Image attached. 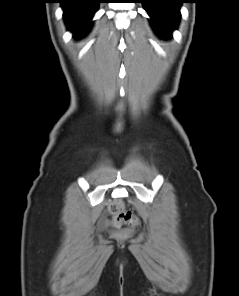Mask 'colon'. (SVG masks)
<instances>
[{"mask_svg": "<svg viewBox=\"0 0 239 296\" xmlns=\"http://www.w3.org/2000/svg\"><path fill=\"white\" fill-rule=\"evenodd\" d=\"M109 211L113 216V224L115 226L126 225L130 228L139 225L138 218L131 212L125 209L122 201L115 200L109 206Z\"/></svg>", "mask_w": 239, "mask_h": 296, "instance_id": "colon-1", "label": "colon"}]
</instances>
